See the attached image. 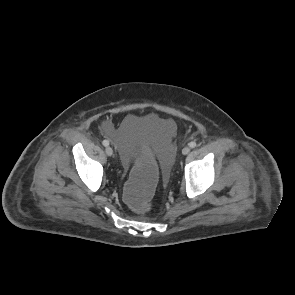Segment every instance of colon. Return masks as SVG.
<instances>
[{
  "label": "colon",
  "instance_id": "obj_1",
  "mask_svg": "<svg viewBox=\"0 0 295 295\" xmlns=\"http://www.w3.org/2000/svg\"><path fill=\"white\" fill-rule=\"evenodd\" d=\"M157 174V166L151 160L143 159L136 163L124 186V199L128 206L138 211L150 207L158 188Z\"/></svg>",
  "mask_w": 295,
  "mask_h": 295
}]
</instances>
